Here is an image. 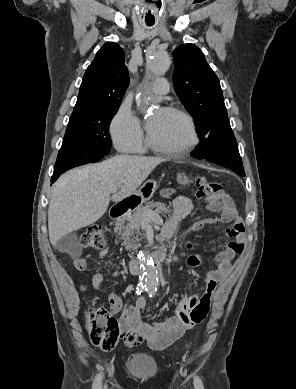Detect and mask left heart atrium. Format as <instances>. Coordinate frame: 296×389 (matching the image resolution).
<instances>
[{"instance_id": "39dd6f15", "label": "left heart atrium", "mask_w": 296, "mask_h": 389, "mask_svg": "<svg viewBox=\"0 0 296 389\" xmlns=\"http://www.w3.org/2000/svg\"><path fill=\"white\" fill-rule=\"evenodd\" d=\"M153 125H154V121L153 120H150L149 122H148V129L150 130L152 127H153Z\"/></svg>"}]
</instances>
